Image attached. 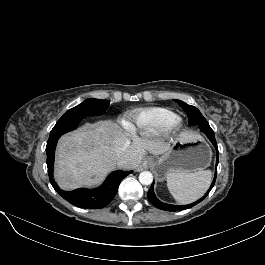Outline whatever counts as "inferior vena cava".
I'll return each mask as SVG.
<instances>
[{
  "mask_svg": "<svg viewBox=\"0 0 265 265\" xmlns=\"http://www.w3.org/2000/svg\"><path fill=\"white\" fill-rule=\"evenodd\" d=\"M128 147H129V142L125 141V142L121 143L120 145L115 146L113 148L115 160L118 164H123L126 162L125 153H126Z\"/></svg>",
  "mask_w": 265,
  "mask_h": 265,
  "instance_id": "602c4592",
  "label": "inferior vena cava"
}]
</instances>
